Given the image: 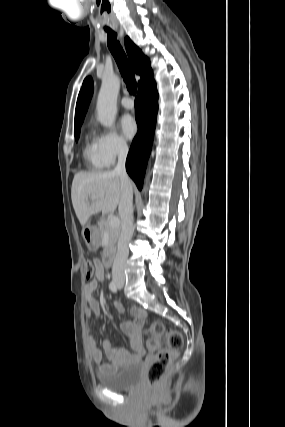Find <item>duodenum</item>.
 Segmentation results:
<instances>
[{"mask_svg":"<svg viewBox=\"0 0 285 427\" xmlns=\"http://www.w3.org/2000/svg\"><path fill=\"white\" fill-rule=\"evenodd\" d=\"M115 247L113 245L109 246L105 255V262L107 265H110L114 260Z\"/></svg>","mask_w":285,"mask_h":427,"instance_id":"1","label":"duodenum"}]
</instances>
